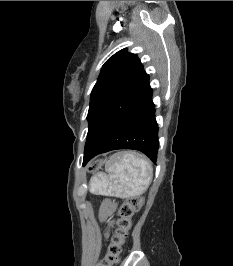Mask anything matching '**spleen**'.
I'll return each mask as SVG.
<instances>
[{
  "mask_svg": "<svg viewBox=\"0 0 233 266\" xmlns=\"http://www.w3.org/2000/svg\"><path fill=\"white\" fill-rule=\"evenodd\" d=\"M105 170L108 174L100 172L91 178V193L122 198L138 196L147 190L153 176L152 166L145 158L127 151L112 155Z\"/></svg>",
  "mask_w": 233,
  "mask_h": 266,
  "instance_id": "spleen-1",
  "label": "spleen"
}]
</instances>
